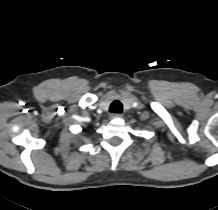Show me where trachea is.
Masks as SVG:
<instances>
[{"label": "trachea", "mask_w": 218, "mask_h": 210, "mask_svg": "<svg viewBox=\"0 0 218 210\" xmlns=\"http://www.w3.org/2000/svg\"><path fill=\"white\" fill-rule=\"evenodd\" d=\"M122 103L118 100H115L110 105V112L112 113H121L122 112Z\"/></svg>", "instance_id": "3493384b"}]
</instances>
